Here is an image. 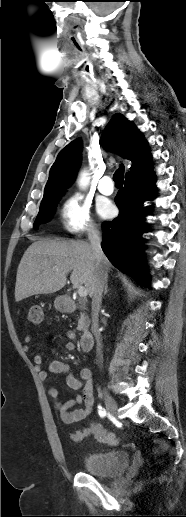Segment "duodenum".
<instances>
[{"label":"duodenum","instance_id":"duodenum-1","mask_svg":"<svg viewBox=\"0 0 186 517\" xmlns=\"http://www.w3.org/2000/svg\"><path fill=\"white\" fill-rule=\"evenodd\" d=\"M61 301L63 302L64 310L68 313H74L80 309V305L75 303L70 297L65 296L61 299ZM93 341L94 337L92 332L88 329L83 330L80 336V347L82 351H90L93 346Z\"/></svg>","mask_w":186,"mask_h":517}]
</instances>
